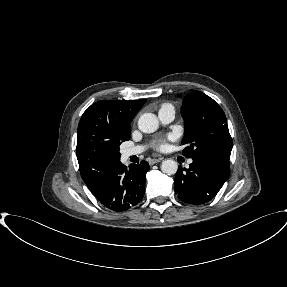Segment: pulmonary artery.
I'll use <instances>...</instances> for the list:
<instances>
[{
	"label": "pulmonary artery",
	"mask_w": 287,
	"mask_h": 287,
	"mask_svg": "<svg viewBox=\"0 0 287 287\" xmlns=\"http://www.w3.org/2000/svg\"><path fill=\"white\" fill-rule=\"evenodd\" d=\"M175 111L172 108H165L159 111V119L161 120L162 123H169L174 119ZM144 146H135L132 148H128L124 150L123 156L125 159L138 155L141 152H143ZM192 163V161H189V164Z\"/></svg>",
	"instance_id": "1"
}]
</instances>
